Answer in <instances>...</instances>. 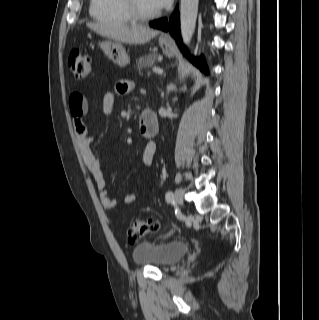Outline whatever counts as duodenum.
I'll return each mask as SVG.
<instances>
[{
    "instance_id": "1",
    "label": "duodenum",
    "mask_w": 319,
    "mask_h": 320,
    "mask_svg": "<svg viewBox=\"0 0 319 320\" xmlns=\"http://www.w3.org/2000/svg\"><path fill=\"white\" fill-rule=\"evenodd\" d=\"M139 129L142 135L153 137L159 132L157 115L153 110H145L140 119Z\"/></svg>"
}]
</instances>
